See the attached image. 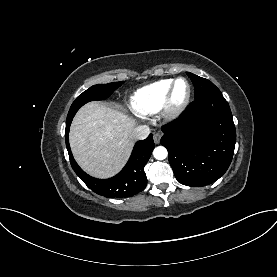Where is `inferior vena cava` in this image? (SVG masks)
I'll return each instance as SVG.
<instances>
[{
  "mask_svg": "<svg viewBox=\"0 0 277 277\" xmlns=\"http://www.w3.org/2000/svg\"><path fill=\"white\" fill-rule=\"evenodd\" d=\"M149 134L150 128L147 125L138 126L132 132V136L136 140H143L147 138Z\"/></svg>",
  "mask_w": 277,
  "mask_h": 277,
  "instance_id": "inferior-vena-cava-1",
  "label": "inferior vena cava"
}]
</instances>
